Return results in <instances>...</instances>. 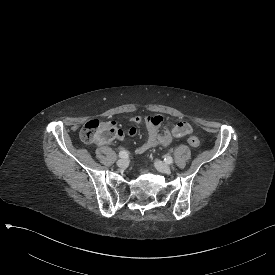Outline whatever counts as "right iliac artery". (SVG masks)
<instances>
[{
  "mask_svg": "<svg viewBox=\"0 0 275 275\" xmlns=\"http://www.w3.org/2000/svg\"><path fill=\"white\" fill-rule=\"evenodd\" d=\"M127 155H128V153H127L126 150H121V151L119 152V157H120V158H126Z\"/></svg>",
  "mask_w": 275,
  "mask_h": 275,
  "instance_id": "82829eb1",
  "label": "right iliac artery"
}]
</instances>
